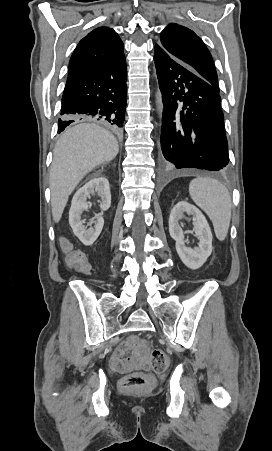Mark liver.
<instances>
[{
    "label": "liver",
    "instance_id": "liver-1",
    "mask_svg": "<svg viewBox=\"0 0 272 451\" xmlns=\"http://www.w3.org/2000/svg\"><path fill=\"white\" fill-rule=\"evenodd\" d=\"M118 152L116 138L97 124H77L61 134L50 172L52 216L56 224L82 178L95 166L114 160Z\"/></svg>",
    "mask_w": 272,
    "mask_h": 451
}]
</instances>
